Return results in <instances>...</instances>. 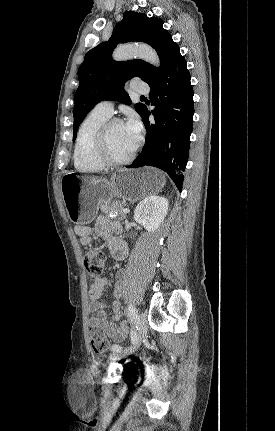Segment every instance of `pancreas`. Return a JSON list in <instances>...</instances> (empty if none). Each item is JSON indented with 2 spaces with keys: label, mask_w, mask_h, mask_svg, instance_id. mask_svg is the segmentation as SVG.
<instances>
[{
  "label": "pancreas",
  "mask_w": 275,
  "mask_h": 431,
  "mask_svg": "<svg viewBox=\"0 0 275 431\" xmlns=\"http://www.w3.org/2000/svg\"><path fill=\"white\" fill-rule=\"evenodd\" d=\"M99 207L104 214H117L120 219H124L126 214L122 212L123 204L118 200L104 201L99 203Z\"/></svg>",
  "instance_id": "1"
}]
</instances>
